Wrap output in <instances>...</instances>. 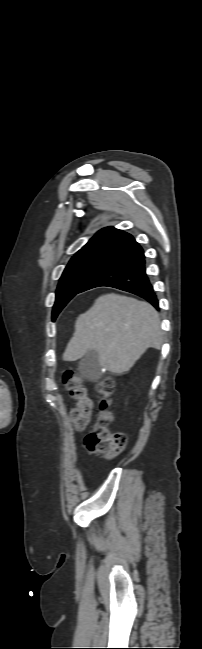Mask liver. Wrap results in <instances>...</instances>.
<instances>
[{
  "instance_id": "1",
  "label": "liver",
  "mask_w": 202,
  "mask_h": 649,
  "mask_svg": "<svg viewBox=\"0 0 202 649\" xmlns=\"http://www.w3.org/2000/svg\"><path fill=\"white\" fill-rule=\"evenodd\" d=\"M163 342L160 319L149 303L114 293L100 296L81 314L63 353L72 362L95 350L106 370L127 372L148 348Z\"/></svg>"
}]
</instances>
